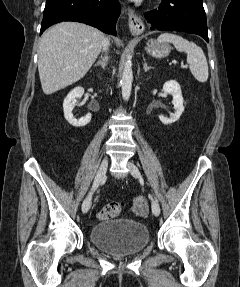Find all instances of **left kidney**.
Listing matches in <instances>:
<instances>
[{"mask_svg": "<svg viewBox=\"0 0 240 287\" xmlns=\"http://www.w3.org/2000/svg\"><path fill=\"white\" fill-rule=\"evenodd\" d=\"M163 91L166 93H170L173 96V105L175 109V113L171 114L169 118L164 117L162 115L159 116L160 121L165 125H170L174 122H176L181 114L184 111L183 106V97L181 93L180 85L175 80H170L164 83L163 85Z\"/></svg>", "mask_w": 240, "mask_h": 287, "instance_id": "obj_1", "label": "left kidney"}]
</instances>
